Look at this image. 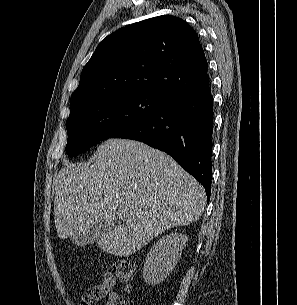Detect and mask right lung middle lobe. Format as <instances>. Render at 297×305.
Wrapping results in <instances>:
<instances>
[{
	"label": "right lung middle lobe",
	"mask_w": 297,
	"mask_h": 305,
	"mask_svg": "<svg viewBox=\"0 0 297 305\" xmlns=\"http://www.w3.org/2000/svg\"><path fill=\"white\" fill-rule=\"evenodd\" d=\"M165 100L164 96L147 92L122 93L71 111L66 123V153L75 157L94 144L115 136L148 117Z\"/></svg>",
	"instance_id": "dd1d6c3e"
}]
</instances>
